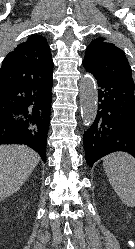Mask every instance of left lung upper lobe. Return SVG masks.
<instances>
[{
	"label": "left lung upper lobe",
	"mask_w": 135,
	"mask_h": 249,
	"mask_svg": "<svg viewBox=\"0 0 135 249\" xmlns=\"http://www.w3.org/2000/svg\"><path fill=\"white\" fill-rule=\"evenodd\" d=\"M83 65L93 74L134 85L125 53L103 37L94 39L87 47Z\"/></svg>",
	"instance_id": "left-lung-upper-lobe-1"
}]
</instances>
